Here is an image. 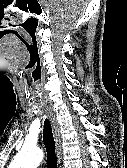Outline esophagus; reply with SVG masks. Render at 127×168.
I'll return each instance as SVG.
<instances>
[{
  "instance_id": "obj_1",
  "label": "esophagus",
  "mask_w": 127,
  "mask_h": 168,
  "mask_svg": "<svg viewBox=\"0 0 127 168\" xmlns=\"http://www.w3.org/2000/svg\"><path fill=\"white\" fill-rule=\"evenodd\" d=\"M45 112L48 115L50 122H51V125H52V129H53V133H54V137H55V142H56L57 158H58L59 163H61L62 146H61L60 126H59V124L56 120V116L51 108H46Z\"/></svg>"
}]
</instances>
